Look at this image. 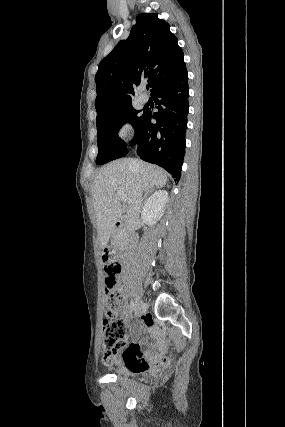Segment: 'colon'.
Masks as SVG:
<instances>
[{"label": "colon", "mask_w": 285, "mask_h": 427, "mask_svg": "<svg viewBox=\"0 0 285 427\" xmlns=\"http://www.w3.org/2000/svg\"><path fill=\"white\" fill-rule=\"evenodd\" d=\"M102 263L105 272V282L107 285L105 294L106 317L103 320V362L107 365L114 364L121 353L129 351L131 343L125 338L127 328L126 322L117 316L122 294L117 288L122 263L105 251L102 255ZM137 368H143L144 364L139 362Z\"/></svg>", "instance_id": "5ec220e1"}]
</instances>
